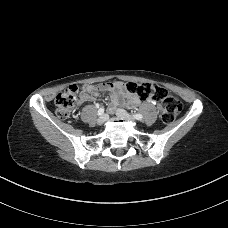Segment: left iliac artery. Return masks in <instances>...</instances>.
Segmentation results:
<instances>
[{"label":"left iliac artery","instance_id":"left-iliac-artery-1","mask_svg":"<svg viewBox=\"0 0 228 228\" xmlns=\"http://www.w3.org/2000/svg\"><path fill=\"white\" fill-rule=\"evenodd\" d=\"M133 117H134L135 119H137V120H142V119H143V116H142V114H140V113L133 114Z\"/></svg>","mask_w":228,"mask_h":228}]
</instances>
